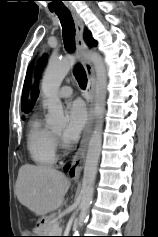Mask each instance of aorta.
Listing matches in <instances>:
<instances>
[{
    "label": "aorta",
    "mask_w": 158,
    "mask_h": 237,
    "mask_svg": "<svg viewBox=\"0 0 158 237\" xmlns=\"http://www.w3.org/2000/svg\"><path fill=\"white\" fill-rule=\"evenodd\" d=\"M94 65L96 73L95 85V125L89 140L79 205V225L85 220L94 193V183L102 146L103 117L107 93V70L103 58L96 52L85 55ZM77 60V55H68L58 60H50L42 79V92L47 99L48 115L46 122L50 126L64 127L67 119L62 102L58 96L60 85Z\"/></svg>",
    "instance_id": "1"
}]
</instances>
